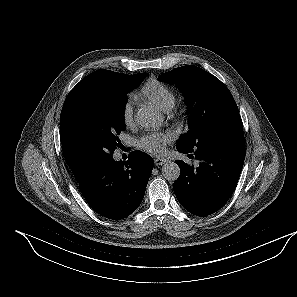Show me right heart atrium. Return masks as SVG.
Here are the masks:
<instances>
[{
	"label": "right heart atrium",
	"instance_id": "d8ad5b80",
	"mask_svg": "<svg viewBox=\"0 0 297 297\" xmlns=\"http://www.w3.org/2000/svg\"><path fill=\"white\" fill-rule=\"evenodd\" d=\"M121 118L125 126L129 127L134 122V97L128 96L121 108Z\"/></svg>",
	"mask_w": 297,
	"mask_h": 297
}]
</instances>
